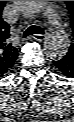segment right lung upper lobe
<instances>
[{
    "label": "right lung upper lobe",
    "mask_w": 74,
    "mask_h": 122,
    "mask_svg": "<svg viewBox=\"0 0 74 122\" xmlns=\"http://www.w3.org/2000/svg\"><path fill=\"white\" fill-rule=\"evenodd\" d=\"M5 3L0 1V77L10 70L18 56V50L10 41V27L1 16Z\"/></svg>",
    "instance_id": "1"
}]
</instances>
